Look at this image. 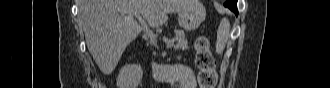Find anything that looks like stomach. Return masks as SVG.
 <instances>
[{
	"instance_id": "0dacf381",
	"label": "stomach",
	"mask_w": 330,
	"mask_h": 88,
	"mask_svg": "<svg viewBox=\"0 0 330 88\" xmlns=\"http://www.w3.org/2000/svg\"><path fill=\"white\" fill-rule=\"evenodd\" d=\"M206 10L199 0H191L190 5L178 14V23L186 31L197 29L205 20Z\"/></svg>"
}]
</instances>
